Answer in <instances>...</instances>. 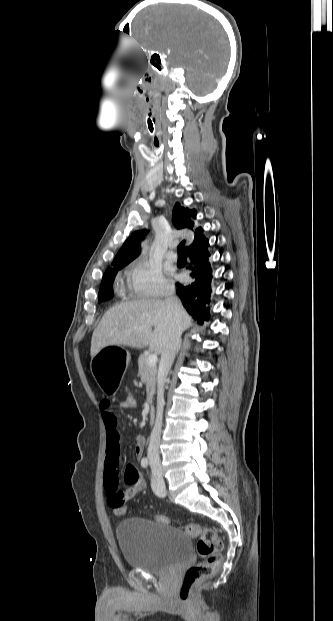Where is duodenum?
I'll list each match as a JSON object with an SVG mask.
<instances>
[{
	"label": "duodenum",
	"instance_id": "410a0bca",
	"mask_svg": "<svg viewBox=\"0 0 333 621\" xmlns=\"http://www.w3.org/2000/svg\"><path fill=\"white\" fill-rule=\"evenodd\" d=\"M148 419H149V424L151 426L154 425L156 421V410L155 409L153 408L150 409Z\"/></svg>",
	"mask_w": 333,
	"mask_h": 621
}]
</instances>
